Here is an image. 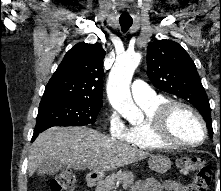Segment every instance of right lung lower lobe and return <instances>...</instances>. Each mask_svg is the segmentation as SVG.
I'll return each instance as SVG.
<instances>
[{"instance_id":"98d812e1","label":"right lung lower lobe","mask_w":221,"mask_h":191,"mask_svg":"<svg viewBox=\"0 0 221 191\" xmlns=\"http://www.w3.org/2000/svg\"><path fill=\"white\" fill-rule=\"evenodd\" d=\"M50 127H51V125H49V124H41L39 128H35L34 134L32 137V142L35 140V138L38 136L39 133L43 132L44 130H46Z\"/></svg>"}]
</instances>
